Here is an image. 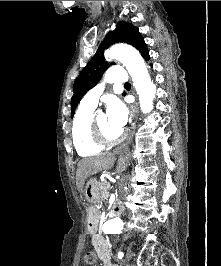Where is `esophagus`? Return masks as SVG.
I'll return each mask as SVG.
<instances>
[{
  "label": "esophagus",
  "instance_id": "obj_1",
  "mask_svg": "<svg viewBox=\"0 0 221 266\" xmlns=\"http://www.w3.org/2000/svg\"><path fill=\"white\" fill-rule=\"evenodd\" d=\"M132 93L135 95L134 88H132ZM136 114H137V99L135 100V102L131 106V119H132V121L135 119ZM135 128H136V123H135V121H133L131 124V129H130L129 135H128L125 143H124V146H128L131 143Z\"/></svg>",
  "mask_w": 221,
  "mask_h": 266
}]
</instances>
